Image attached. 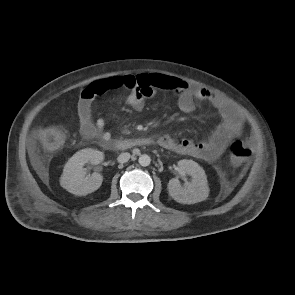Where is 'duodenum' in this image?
I'll return each mask as SVG.
<instances>
[{
    "instance_id": "410a0bca",
    "label": "duodenum",
    "mask_w": 295,
    "mask_h": 295,
    "mask_svg": "<svg viewBox=\"0 0 295 295\" xmlns=\"http://www.w3.org/2000/svg\"><path fill=\"white\" fill-rule=\"evenodd\" d=\"M151 144V140L144 139H126V140H109L103 142V147L106 150H127L139 146Z\"/></svg>"
}]
</instances>
